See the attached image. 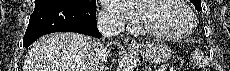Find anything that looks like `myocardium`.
<instances>
[{"instance_id":"obj_1","label":"myocardium","mask_w":230,"mask_h":71,"mask_svg":"<svg viewBox=\"0 0 230 71\" xmlns=\"http://www.w3.org/2000/svg\"><path fill=\"white\" fill-rule=\"evenodd\" d=\"M146 1V0H145ZM179 5H181L185 11L188 13L190 18V26L187 30L181 33H165V32H159L154 29H152L150 26H148L145 22H142L138 28L141 32H144L148 34L149 36L160 39V40H181L185 39L188 36H190L195 29L197 28V17L192 8L187 4L186 1L183 0H175Z\"/></svg>"}]
</instances>
